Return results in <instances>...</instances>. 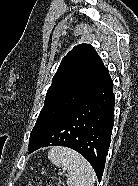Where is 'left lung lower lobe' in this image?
Instances as JSON below:
<instances>
[{
	"label": "left lung lower lobe",
	"instance_id": "0a47b994",
	"mask_svg": "<svg viewBox=\"0 0 138 186\" xmlns=\"http://www.w3.org/2000/svg\"><path fill=\"white\" fill-rule=\"evenodd\" d=\"M113 81L110 76L33 144L29 153L46 146H65L83 155L98 180L103 175L114 124Z\"/></svg>",
	"mask_w": 138,
	"mask_h": 186
}]
</instances>
